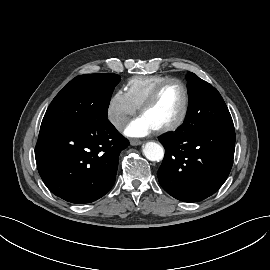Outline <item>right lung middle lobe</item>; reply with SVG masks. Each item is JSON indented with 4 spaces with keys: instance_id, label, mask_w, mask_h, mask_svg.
I'll return each instance as SVG.
<instances>
[{
    "instance_id": "dd1d6c3e",
    "label": "right lung middle lobe",
    "mask_w": 270,
    "mask_h": 270,
    "mask_svg": "<svg viewBox=\"0 0 270 270\" xmlns=\"http://www.w3.org/2000/svg\"><path fill=\"white\" fill-rule=\"evenodd\" d=\"M119 81L120 76L113 73L75 77L53 99L41 127L81 126L107 120L110 98Z\"/></svg>"
}]
</instances>
